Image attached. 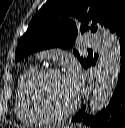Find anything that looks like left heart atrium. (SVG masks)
Listing matches in <instances>:
<instances>
[{"mask_svg":"<svg viewBox=\"0 0 125 128\" xmlns=\"http://www.w3.org/2000/svg\"><path fill=\"white\" fill-rule=\"evenodd\" d=\"M65 77L72 92L77 96L82 85L80 71L73 67L66 73Z\"/></svg>","mask_w":125,"mask_h":128,"instance_id":"1","label":"left heart atrium"}]
</instances>
